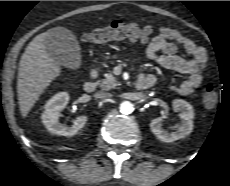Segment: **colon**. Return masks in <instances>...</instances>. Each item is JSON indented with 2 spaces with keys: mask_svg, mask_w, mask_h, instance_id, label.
I'll use <instances>...</instances> for the list:
<instances>
[{
  "mask_svg": "<svg viewBox=\"0 0 230 186\" xmlns=\"http://www.w3.org/2000/svg\"><path fill=\"white\" fill-rule=\"evenodd\" d=\"M153 29L149 26L140 27L133 23L114 21L105 28H98L83 34L82 39L87 43H105L113 40H138L149 42ZM203 103L208 108H213L218 102L217 88L213 83H208L203 90Z\"/></svg>",
  "mask_w": 230,
  "mask_h": 186,
  "instance_id": "5ec220e1",
  "label": "colon"
}]
</instances>
